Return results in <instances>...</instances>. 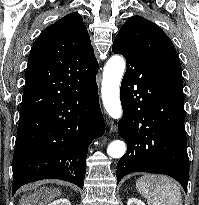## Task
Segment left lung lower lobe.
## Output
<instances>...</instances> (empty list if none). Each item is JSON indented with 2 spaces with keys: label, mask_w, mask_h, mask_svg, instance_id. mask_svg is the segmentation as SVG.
Here are the masks:
<instances>
[{
  "label": "left lung lower lobe",
  "mask_w": 199,
  "mask_h": 205,
  "mask_svg": "<svg viewBox=\"0 0 199 205\" xmlns=\"http://www.w3.org/2000/svg\"><path fill=\"white\" fill-rule=\"evenodd\" d=\"M114 53L127 61L120 99L118 133L128 149L117 164V182L132 172L165 174L187 192L189 159L183 92L169 86L151 64L121 43Z\"/></svg>",
  "instance_id": "0a47b994"
}]
</instances>
